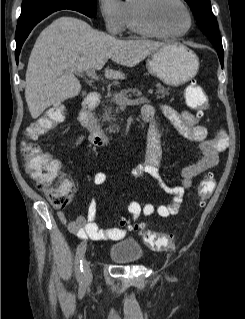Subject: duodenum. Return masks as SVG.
Returning a JSON list of instances; mask_svg holds the SVG:
<instances>
[{"label": "duodenum", "mask_w": 245, "mask_h": 319, "mask_svg": "<svg viewBox=\"0 0 245 319\" xmlns=\"http://www.w3.org/2000/svg\"><path fill=\"white\" fill-rule=\"evenodd\" d=\"M101 101V95L97 91H91L82 102L81 110L79 113V121L85 127L90 135V142L94 146L102 147L108 143V138L102 130L100 124L93 115V110L98 106ZM144 122H148L149 118L144 117Z\"/></svg>", "instance_id": "obj_1"}]
</instances>
